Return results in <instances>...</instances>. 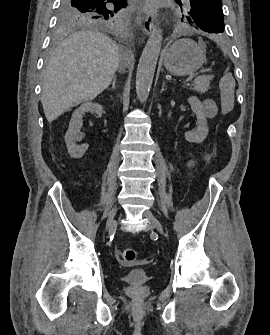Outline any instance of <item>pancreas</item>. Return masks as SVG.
I'll return each mask as SVG.
<instances>
[{"label": "pancreas", "instance_id": "cf45deb5", "mask_svg": "<svg viewBox=\"0 0 270 335\" xmlns=\"http://www.w3.org/2000/svg\"><path fill=\"white\" fill-rule=\"evenodd\" d=\"M213 78L214 76H198L192 84V90H196V92H207V90H210V82Z\"/></svg>", "mask_w": 270, "mask_h": 335}]
</instances>
